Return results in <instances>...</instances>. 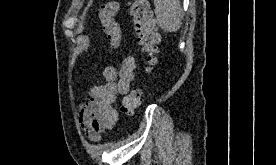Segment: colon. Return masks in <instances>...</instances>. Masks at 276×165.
<instances>
[{"instance_id": "colon-1", "label": "colon", "mask_w": 276, "mask_h": 165, "mask_svg": "<svg viewBox=\"0 0 276 165\" xmlns=\"http://www.w3.org/2000/svg\"><path fill=\"white\" fill-rule=\"evenodd\" d=\"M119 5L115 1L102 3L98 7V18L102 30L112 47H118L122 40L121 27L116 20ZM130 17L134 23L137 42L143 53L146 71H150L156 63V55L160 36L157 25L147 0H132L128 3ZM142 101V90L134 87L127 93L121 102L120 111L123 115L131 116L140 106Z\"/></svg>"}]
</instances>
